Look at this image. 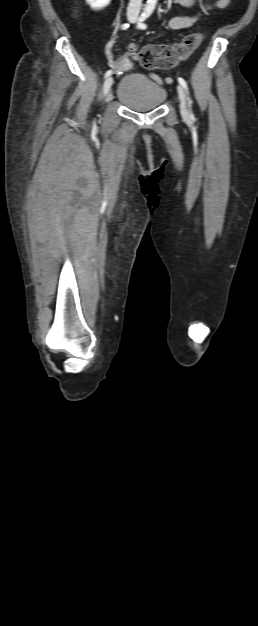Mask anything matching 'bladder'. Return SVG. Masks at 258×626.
<instances>
[{"mask_svg":"<svg viewBox=\"0 0 258 626\" xmlns=\"http://www.w3.org/2000/svg\"><path fill=\"white\" fill-rule=\"evenodd\" d=\"M118 101L134 112H149L162 106L167 92L164 87L144 75L123 78L116 90Z\"/></svg>","mask_w":258,"mask_h":626,"instance_id":"bladder-1","label":"bladder"}]
</instances>
